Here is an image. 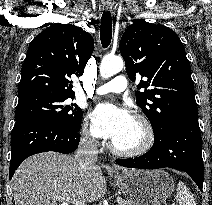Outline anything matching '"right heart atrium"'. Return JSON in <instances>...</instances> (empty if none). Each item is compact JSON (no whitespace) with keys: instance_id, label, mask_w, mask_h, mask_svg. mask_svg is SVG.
Instances as JSON below:
<instances>
[{"instance_id":"d8ad5b80","label":"right heart atrium","mask_w":212,"mask_h":205,"mask_svg":"<svg viewBox=\"0 0 212 205\" xmlns=\"http://www.w3.org/2000/svg\"><path fill=\"white\" fill-rule=\"evenodd\" d=\"M82 140L88 145H96V139L94 137L93 131L87 122L83 125L82 128Z\"/></svg>"}]
</instances>
